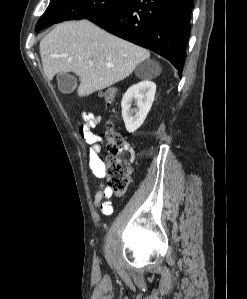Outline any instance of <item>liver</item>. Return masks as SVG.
I'll list each match as a JSON object with an SVG mask.
<instances>
[{
  "instance_id": "liver-1",
  "label": "liver",
  "mask_w": 247,
  "mask_h": 299,
  "mask_svg": "<svg viewBox=\"0 0 247 299\" xmlns=\"http://www.w3.org/2000/svg\"><path fill=\"white\" fill-rule=\"evenodd\" d=\"M39 49L49 80L63 72L79 76L80 97L122 81L150 57L148 50L108 33L89 20L58 24L40 41Z\"/></svg>"
}]
</instances>
